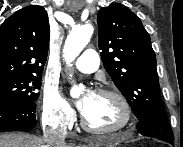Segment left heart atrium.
<instances>
[{
	"instance_id": "1",
	"label": "left heart atrium",
	"mask_w": 183,
	"mask_h": 147,
	"mask_svg": "<svg viewBox=\"0 0 183 147\" xmlns=\"http://www.w3.org/2000/svg\"><path fill=\"white\" fill-rule=\"evenodd\" d=\"M93 92L92 91H87L86 94L83 96L82 99H80L78 102H77V106L78 108L81 110V112L83 113L84 110L86 109L87 107V104L89 102V100L91 99V97L93 96Z\"/></svg>"
}]
</instances>
